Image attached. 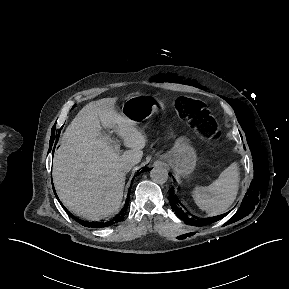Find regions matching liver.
I'll use <instances>...</instances> for the list:
<instances>
[{
  "label": "liver",
  "mask_w": 289,
  "mask_h": 289,
  "mask_svg": "<svg viewBox=\"0 0 289 289\" xmlns=\"http://www.w3.org/2000/svg\"><path fill=\"white\" fill-rule=\"evenodd\" d=\"M116 99L90 102L66 128L53 158V182L64 206L87 220H99L119 211L126 163L138 164L146 145L136 122L118 113ZM101 126L115 129L129 148L119 154L103 136Z\"/></svg>",
  "instance_id": "6515ba94"
}]
</instances>
